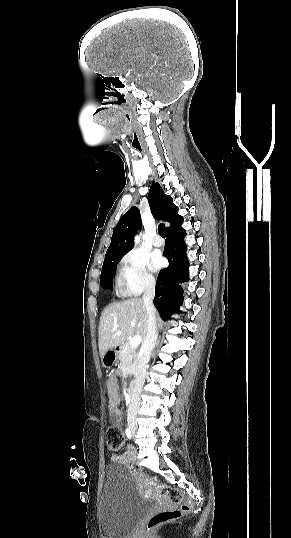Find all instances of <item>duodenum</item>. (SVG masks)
<instances>
[{
  "instance_id": "duodenum-1",
  "label": "duodenum",
  "mask_w": 291,
  "mask_h": 538,
  "mask_svg": "<svg viewBox=\"0 0 291 538\" xmlns=\"http://www.w3.org/2000/svg\"><path fill=\"white\" fill-rule=\"evenodd\" d=\"M108 355H110L112 358H115L117 355V351L110 350L108 351ZM123 377H124V387H125L123 394L125 397L130 398L134 394V387H133V382H132L133 378L130 376L128 372H125L123 374Z\"/></svg>"
}]
</instances>
